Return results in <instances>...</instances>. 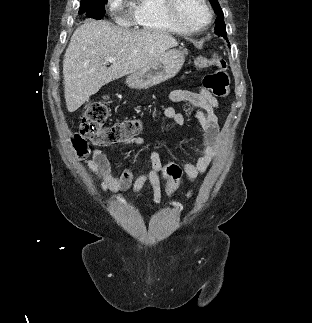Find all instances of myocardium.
Here are the masks:
<instances>
[{"label": "myocardium", "mask_w": 312, "mask_h": 323, "mask_svg": "<svg viewBox=\"0 0 312 323\" xmlns=\"http://www.w3.org/2000/svg\"><path fill=\"white\" fill-rule=\"evenodd\" d=\"M179 0H167L165 2V15L169 19L171 25H179V31H206L207 25H210L212 17H214V10H210L206 0H193L196 7L199 8L201 20H188L181 18L180 11L181 3Z\"/></svg>", "instance_id": "f54148a6"}]
</instances>
